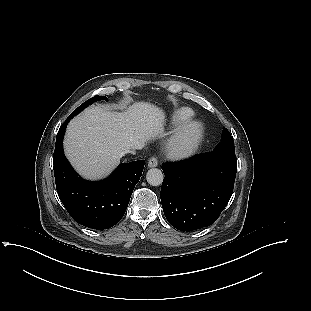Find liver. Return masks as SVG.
I'll list each match as a JSON object with an SVG mask.
<instances>
[{"instance_id": "obj_1", "label": "liver", "mask_w": 311, "mask_h": 311, "mask_svg": "<svg viewBox=\"0 0 311 311\" xmlns=\"http://www.w3.org/2000/svg\"><path fill=\"white\" fill-rule=\"evenodd\" d=\"M165 113L146 102H136L126 112L87 108L68 125L65 154L85 178L107 176L126 153L163 136Z\"/></svg>"}]
</instances>
